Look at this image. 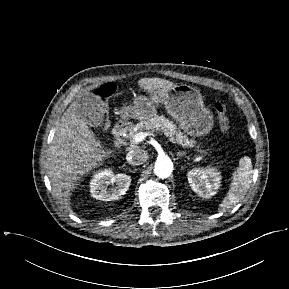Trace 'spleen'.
I'll use <instances>...</instances> for the list:
<instances>
[{"instance_id":"1","label":"spleen","mask_w":289,"mask_h":289,"mask_svg":"<svg viewBox=\"0 0 289 289\" xmlns=\"http://www.w3.org/2000/svg\"><path fill=\"white\" fill-rule=\"evenodd\" d=\"M252 163L249 157H243L239 161V167L234 172L230 189L227 196L220 204L219 210L232 209L240 200L244 198L252 182Z\"/></svg>"}]
</instances>
